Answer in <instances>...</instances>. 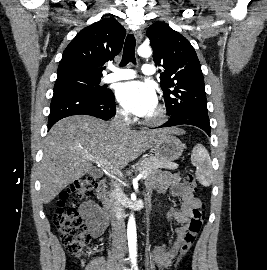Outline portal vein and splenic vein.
I'll list each match as a JSON object with an SVG mask.
<instances>
[{
	"instance_id": "portal-vein-and-splenic-vein-1",
	"label": "portal vein and splenic vein",
	"mask_w": 267,
	"mask_h": 270,
	"mask_svg": "<svg viewBox=\"0 0 267 270\" xmlns=\"http://www.w3.org/2000/svg\"><path fill=\"white\" fill-rule=\"evenodd\" d=\"M90 161H93L97 164H99L100 166H102L103 168H105L106 170H109L111 173L115 174V175H118V176H122V173L118 170V169H115L113 168L112 166H110V164L107 162V161H102V160H99L98 158L96 157H89L88 158ZM147 177V174H144V173H140L138 176H137V179H143V178H146Z\"/></svg>"
}]
</instances>
